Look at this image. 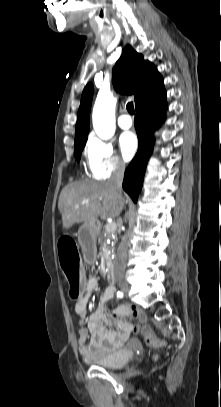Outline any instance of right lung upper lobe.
Instances as JSON below:
<instances>
[{"label": "right lung upper lobe", "instance_id": "1", "mask_svg": "<svg viewBox=\"0 0 221 407\" xmlns=\"http://www.w3.org/2000/svg\"><path fill=\"white\" fill-rule=\"evenodd\" d=\"M112 82L116 91L134 94L136 108L152 98L163 88V79L156 67L143 59L130 45L122 52L112 71ZM92 84L86 85L78 110L75 144L86 142L89 131V114L93 96Z\"/></svg>", "mask_w": 221, "mask_h": 407}]
</instances>
